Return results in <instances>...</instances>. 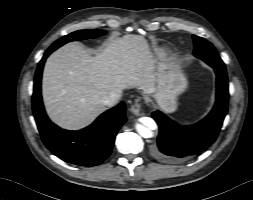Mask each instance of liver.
<instances>
[{
	"mask_svg": "<svg viewBox=\"0 0 253 200\" xmlns=\"http://www.w3.org/2000/svg\"><path fill=\"white\" fill-rule=\"evenodd\" d=\"M154 62L139 35L111 39L91 56L77 43H68L46 60L42 95L46 111L59 126L77 130L106 110L103 99L126 88L153 93Z\"/></svg>",
	"mask_w": 253,
	"mask_h": 200,
	"instance_id": "obj_1",
	"label": "liver"
}]
</instances>
